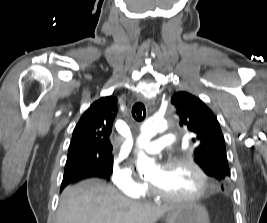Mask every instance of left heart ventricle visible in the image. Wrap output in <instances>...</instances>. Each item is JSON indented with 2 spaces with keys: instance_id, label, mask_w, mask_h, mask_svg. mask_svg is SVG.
Returning a JSON list of instances; mask_svg holds the SVG:
<instances>
[{
  "instance_id": "1",
  "label": "left heart ventricle",
  "mask_w": 267,
  "mask_h": 223,
  "mask_svg": "<svg viewBox=\"0 0 267 223\" xmlns=\"http://www.w3.org/2000/svg\"><path fill=\"white\" fill-rule=\"evenodd\" d=\"M149 181L162 193L174 196H190L200 187L195 171L188 165L160 167L155 170Z\"/></svg>"
}]
</instances>
